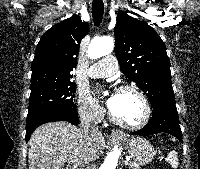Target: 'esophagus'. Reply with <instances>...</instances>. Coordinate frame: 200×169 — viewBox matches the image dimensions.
Returning <instances> with one entry per match:
<instances>
[{
    "label": "esophagus",
    "instance_id": "1",
    "mask_svg": "<svg viewBox=\"0 0 200 169\" xmlns=\"http://www.w3.org/2000/svg\"><path fill=\"white\" fill-rule=\"evenodd\" d=\"M111 136L112 137H124V133L120 130L112 129L111 130Z\"/></svg>",
    "mask_w": 200,
    "mask_h": 169
}]
</instances>
